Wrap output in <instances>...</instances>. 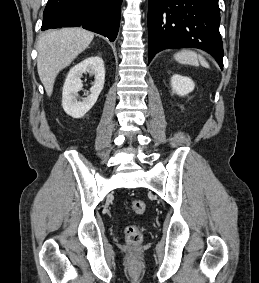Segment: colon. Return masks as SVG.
Here are the masks:
<instances>
[{"instance_id": "colon-1", "label": "colon", "mask_w": 259, "mask_h": 283, "mask_svg": "<svg viewBox=\"0 0 259 283\" xmlns=\"http://www.w3.org/2000/svg\"><path fill=\"white\" fill-rule=\"evenodd\" d=\"M146 204L142 200H133L130 204V210L135 215H141L145 212ZM125 240L129 245H140L143 240L142 229L137 225H130L125 232Z\"/></svg>"}]
</instances>
